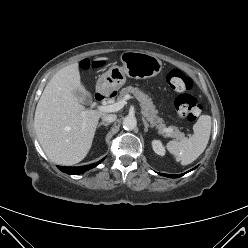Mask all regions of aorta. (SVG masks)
Returning a JSON list of instances; mask_svg holds the SVG:
<instances>
[{
	"label": "aorta",
	"mask_w": 248,
	"mask_h": 248,
	"mask_svg": "<svg viewBox=\"0 0 248 248\" xmlns=\"http://www.w3.org/2000/svg\"><path fill=\"white\" fill-rule=\"evenodd\" d=\"M122 125L125 130H133L137 125V120L133 116H126L123 119Z\"/></svg>",
	"instance_id": "1"
}]
</instances>
